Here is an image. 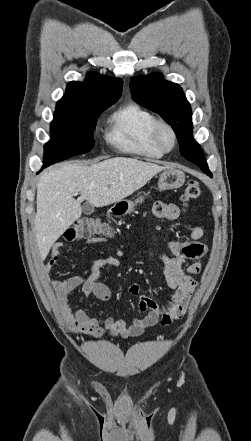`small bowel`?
I'll return each mask as SVG.
<instances>
[{"label": "small bowel", "instance_id": "small-bowel-1", "mask_svg": "<svg viewBox=\"0 0 251 441\" xmlns=\"http://www.w3.org/2000/svg\"><path fill=\"white\" fill-rule=\"evenodd\" d=\"M153 213L157 218L167 220H176L182 215L178 206L162 201L154 204ZM203 233L200 226H195L190 230L187 241H170L167 251L158 250L153 246L143 247L138 251V255L154 257L162 263L167 285L173 291V295L166 305L160 306L152 298L141 294L139 284H131L128 292L138 296L139 308L145 312V315L141 318H133L129 323L116 318L113 309L109 316L103 318L98 315L90 316L81 308L73 310L70 306V295L79 287L85 297L93 295L101 301L111 299L110 288L99 279L105 267L120 265L117 257L108 256L95 260L85 275H74L64 280L51 279L50 272L58 263L60 248L63 246L61 242H57L41 271L56 294L61 316L70 331L91 338H99L106 332L123 338L137 337L158 323L168 326L186 313L197 286V281L192 275L201 272L200 259L206 253V245L200 241ZM103 241V238L93 237L87 243L97 244Z\"/></svg>", "mask_w": 251, "mask_h": 441}]
</instances>
